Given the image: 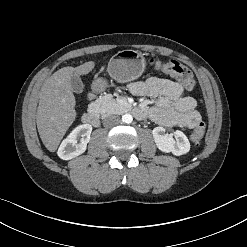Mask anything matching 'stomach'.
Returning <instances> with one entry per match:
<instances>
[{
    "label": "stomach",
    "mask_w": 247,
    "mask_h": 247,
    "mask_svg": "<svg viewBox=\"0 0 247 247\" xmlns=\"http://www.w3.org/2000/svg\"><path fill=\"white\" fill-rule=\"evenodd\" d=\"M141 54L135 50L119 51L113 56L108 64L107 71L111 78L120 83H126L139 78L146 66V62L140 57ZM107 83L103 79L94 82L93 87L104 89Z\"/></svg>",
    "instance_id": "1"
}]
</instances>
